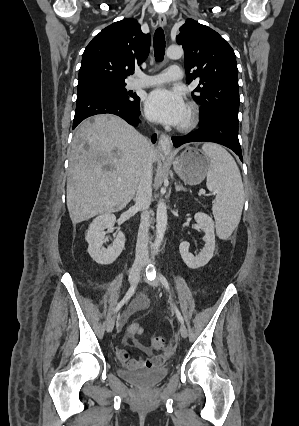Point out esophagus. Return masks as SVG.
I'll return each instance as SVG.
<instances>
[{"label":"esophagus","instance_id":"esophagus-1","mask_svg":"<svg viewBox=\"0 0 299 426\" xmlns=\"http://www.w3.org/2000/svg\"><path fill=\"white\" fill-rule=\"evenodd\" d=\"M158 24L164 28L167 24L166 17L164 14L158 16ZM158 149L165 155L172 153V142L169 136L161 134L158 141Z\"/></svg>","mask_w":299,"mask_h":426}]
</instances>
